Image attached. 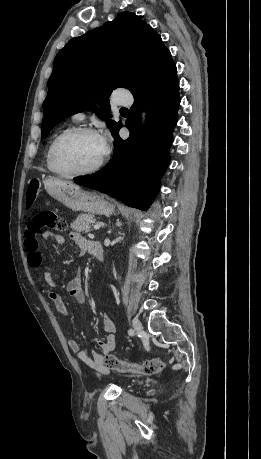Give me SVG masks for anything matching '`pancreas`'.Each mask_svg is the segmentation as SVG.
<instances>
[{
	"instance_id": "pancreas-1",
	"label": "pancreas",
	"mask_w": 261,
	"mask_h": 459,
	"mask_svg": "<svg viewBox=\"0 0 261 459\" xmlns=\"http://www.w3.org/2000/svg\"><path fill=\"white\" fill-rule=\"evenodd\" d=\"M97 222L92 214H80L77 219L71 223V228L77 232H89L91 224Z\"/></svg>"
}]
</instances>
